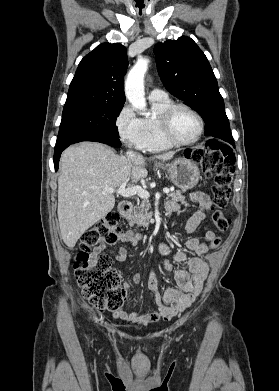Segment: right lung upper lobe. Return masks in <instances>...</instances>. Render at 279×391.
<instances>
[{
    "instance_id": "1",
    "label": "right lung upper lobe",
    "mask_w": 279,
    "mask_h": 391,
    "mask_svg": "<svg viewBox=\"0 0 279 391\" xmlns=\"http://www.w3.org/2000/svg\"><path fill=\"white\" fill-rule=\"evenodd\" d=\"M126 47L103 43L79 63L71 81L64 110L84 105L125 103Z\"/></svg>"
}]
</instances>
